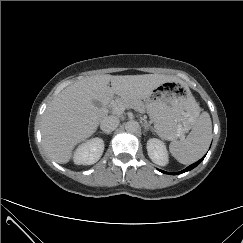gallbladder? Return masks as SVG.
Instances as JSON below:
<instances>
[{"instance_id":"bac80fb5","label":"gallbladder","mask_w":243,"mask_h":243,"mask_svg":"<svg viewBox=\"0 0 243 243\" xmlns=\"http://www.w3.org/2000/svg\"><path fill=\"white\" fill-rule=\"evenodd\" d=\"M94 104H95V106H98L99 102L98 101H94Z\"/></svg>"}]
</instances>
